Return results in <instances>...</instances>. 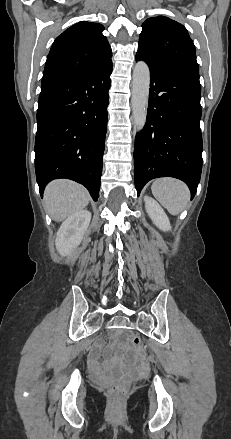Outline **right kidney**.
Segmentation results:
<instances>
[{
  "label": "right kidney",
  "instance_id": "obj_1",
  "mask_svg": "<svg viewBox=\"0 0 231 439\" xmlns=\"http://www.w3.org/2000/svg\"><path fill=\"white\" fill-rule=\"evenodd\" d=\"M90 220L91 213L81 210L62 223L56 236V248L61 255L70 254L81 243Z\"/></svg>",
  "mask_w": 231,
  "mask_h": 439
}]
</instances>
